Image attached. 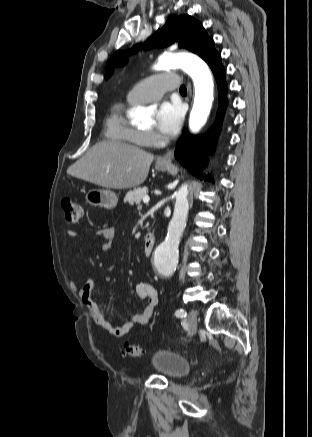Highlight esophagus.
Here are the masks:
<instances>
[{"instance_id": "1", "label": "esophagus", "mask_w": 312, "mask_h": 437, "mask_svg": "<svg viewBox=\"0 0 312 437\" xmlns=\"http://www.w3.org/2000/svg\"><path fill=\"white\" fill-rule=\"evenodd\" d=\"M188 94H189V96L192 95V90H191V86L189 83H188ZM174 151H175V149H172V150L168 151L166 154H164L163 156L158 157L157 163L158 164H170L172 159H173V156H174Z\"/></svg>"}]
</instances>
